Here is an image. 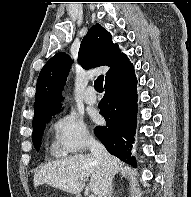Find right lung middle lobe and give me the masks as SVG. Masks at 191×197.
Masks as SVG:
<instances>
[{
    "mask_svg": "<svg viewBox=\"0 0 191 197\" xmlns=\"http://www.w3.org/2000/svg\"><path fill=\"white\" fill-rule=\"evenodd\" d=\"M50 118L51 117L45 119L44 121L40 122L38 125L33 127L32 141L37 151H39V147L41 145V137H42L43 130L45 128V123L48 122Z\"/></svg>",
    "mask_w": 191,
    "mask_h": 197,
    "instance_id": "obj_1",
    "label": "right lung middle lobe"
}]
</instances>
